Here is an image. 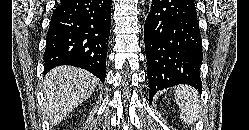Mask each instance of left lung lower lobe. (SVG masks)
<instances>
[{
	"label": "left lung lower lobe",
	"mask_w": 249,
	"mask_h": 130,
	"mask_svg": "<svg viewBox=\"0 0 249 130\" xmlns=\"http://www.w3.org/2000/svg\"><path fill=\"white\" fill-rule=\"evenodd\" d=\"M149 101L164 88L202 89V39L194 0H152L144 25Z\"/></svg>",
	"instance_id": "obj_1"
}]
</instances>
